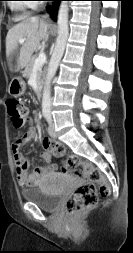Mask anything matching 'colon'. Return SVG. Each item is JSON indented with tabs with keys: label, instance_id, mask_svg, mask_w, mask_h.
<instances>
[{
	"label": "colon",
	"instance_id": "1",
	"mask_svg": "<svg viewBox=\"0 0 133 253\" xmlns=\"http://www.w3.org/2000/svg\"><path fill=\"white\" fill-rule=\"evenodd\" d=\"M7 112L15 128L23 127L28 120L27 107L16 98L6 100ZM44 146L47 150L57 156L66 155L64 146L49 137H44ZM64 170H73L78 173L76 168L83 167V174L90 180L78 187L69 199L66 201L65 209L68 213H78L93 207L98 201V194L106 196L110 192V184L101 171L94 165L82 163L80 159L73 154L66 155V159L61 164ZM98 186V188H97Z\"/></svg>",
	"mask_w": 133,
	"mask_h": 253
}]
</instances>
